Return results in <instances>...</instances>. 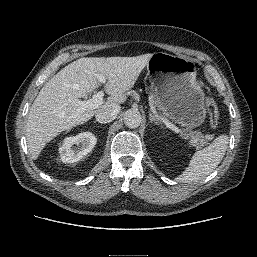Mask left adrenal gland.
<instances>
[{"instance_id": "obj_1", "label": "left adrenal gland", "mask_w": 257, "mask_h": 257, "mask_svg": "<svg viewBox=\"0 0 257 257\" xmlns=\"http://www.w3.org/2000/svg\"><path fill=\"white\" fill-rule=\"evenodd\" d=\"M149 120L151 123L154 122L156 125H161V123L155 118V116L151 112H149Z\"/></svg>"}]
</instances>
